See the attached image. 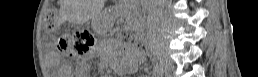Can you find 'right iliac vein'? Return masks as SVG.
<instances>
[{
    "mask_svg": "<svg viewBox=\"0 0 258 77\" xmlns=\"http://www.w3.org/2000/svg\"><path fill=\"white\" fill-rule=\"evenodd\" d=\"M159 60H160V70L165 73H171L172 71L171 61L167 56V54H160Z\"/></svg>",
    "mask_w": 258,
    "mask_h": 77,
    "instance_id": "right-iliac-vein-1",
    "label": "right iliac vein"
}]
</instances>
